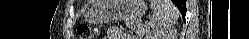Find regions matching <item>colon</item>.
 <instances>
[{
	"mask_svg": "<svg viewBox=\"0 0 249 39\" xmlns=\"http://www.w3.org/2000/svg\"><path fill=\"white\" fill-rule=\"evenodd\" d=\"M77 34L80 39H95L98 37L97 29L86 23L78 26Z\"/></svg>",
	"mask_w": 249,
	"mask_h": 39,
	"instance_id": "1",
	"label": "colon"
}]
</instances>
